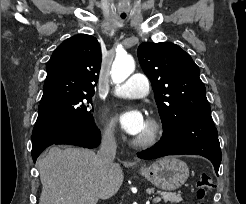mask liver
<instances>
[{"instance_id":"obj_1","label":"liver","mask_w":246,"mask_h":204,"mask_svg":"<svg viewBox=\"0 0 246 204\" xmlns=\"http://www.w3.org/2000/svg\"><path fill=\"white\" fill-rule=\"evenodd\" d=\"M37 164L42 183L39 204H97L113 196L124 180L118 163L106 171L88 149L52 147Z\"/></svg>"}]
</instances>
